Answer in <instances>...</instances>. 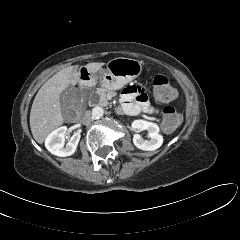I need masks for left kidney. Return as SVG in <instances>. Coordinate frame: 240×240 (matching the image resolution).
<instances>
[{"mask_svg": "<svg viewBox=\"0 0 240 240\" xmlns=\"http://www.w3.org/2000/svg\"><path fill=\"white\" fill-rule=\"evenodd\" d=\"M131 128L137 134L133 136L134 145L144 151H154L161 147L163 143V136L159 133V127L157 124L146 120H134ZM147 130L149 140L143 139L138 133Z\"/></svg>", "mask_w": 240, "mask_h": 240, "instance_id": "5707ae66", "label": "left kidney"}]
</instances>
